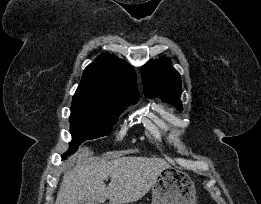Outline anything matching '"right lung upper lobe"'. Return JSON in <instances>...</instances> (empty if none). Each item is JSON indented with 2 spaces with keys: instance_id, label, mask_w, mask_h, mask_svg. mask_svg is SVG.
<instances>
[{
  "instance_id": "1",
  "label": "right lung upper lobe",
  "mask_w": 261,
  "mask_h": 204,
  "mask_svg": "<svg viewBox=\"0 0 261 204\" xmlns=\"http://www.w3.org/2000/svg\"><path fill=\"white\" fill-rule=\"evenodd\" d=\"M139 98L131 65L111 54H101L88 65L73 100L102 105H129Z\"/></svg>"
}]
</instances>
